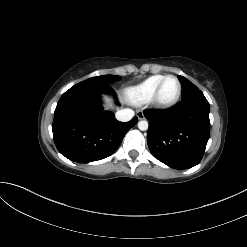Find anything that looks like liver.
I'll list each match as a JSON object with an SVG mask.
<instances>
[{
    "label": "liver",
    "instance_id": "6515ba94",
    "mask_svg": "<svg viewBox=\"0 0 247 247\" xmlns=\"http://www.w3.org/2000/svg\"><path fill=\"white\" fill-rule=\"evenodd\" d=\"M104 100L106 101L107 105H111V100L108 97H104Z\"/></svg>",
    "mask_w": 247,
    "mask_h": 247
}]
</instances>
